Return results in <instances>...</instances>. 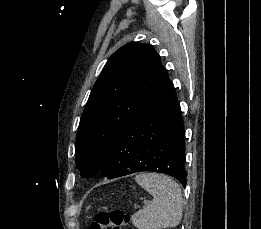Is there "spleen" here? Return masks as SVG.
Segmentation results:
<instances>
[{"label": "spleen", "instance_id": "spleen-1", "mask_svg": "<svg viewBox=\"0 0 261 229\" xmlns=\"http://www.w3.org/2000/svg\"><path fill=\"white\" fill-rule=\"evenodd\" d=\"M136 183L146 189L153 201H144L146 207L132 217L137 229H170L177 227L183 215V197L180 185L159 173H142Z\"/></svg>", "mask_w": 261, "mask_h": 229}]
</instances>
